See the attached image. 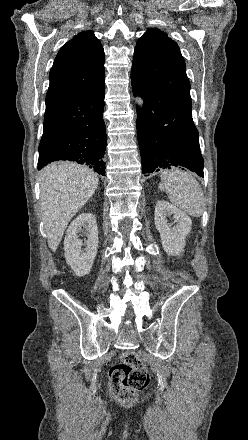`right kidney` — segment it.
I'll return each instance as SVG.
<instances>
[{"instance_id": "right-kidney-1", "label": "right kidney", "mask_w": 248, "mask_h": 440, "mask_svg": "<svg viewBox=\"0 0 248 440\" xmlns=\"http://www.w3.org/2000/svg\"><path fill=\"white\" fill-rule=\"evenodd\" d=\"M78 234L85 235L87 240L83 242ZM98 242V227L93 214L82 213L71 222L64 239V255L76 276L83 277L91 271ZM83 245H86L85 251L81 250Z\"/></svg>"}]
</instances>
